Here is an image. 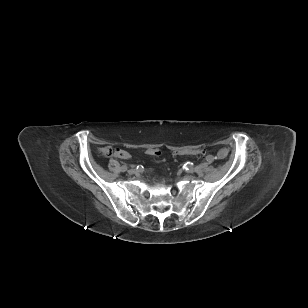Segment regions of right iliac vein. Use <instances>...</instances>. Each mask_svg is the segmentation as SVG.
Masks as SVG:
<instances>
[{
  "label": "right iliac vein",
  "mask_w": 308,
  "mask_h": 308,
  "mask_svg": "<svg viewBox=\"0 0 308 308\" xmlns=\"http://www.w3.org/2000/svg\"><path fill=\"white\" fill-rule=\"evenodd\" d=\"M128 173H129L130 175H132V174L135 173V170H134V169H129V170H128Z\"/></svg>",
  "instance_id": "right-iliac-vein-1"
}]
</instances>
